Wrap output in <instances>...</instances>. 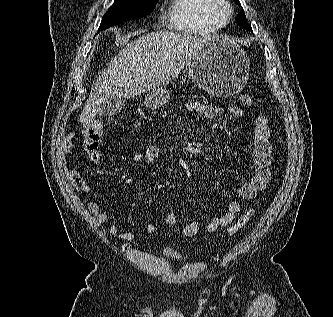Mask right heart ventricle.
Returning <instances> with one entry per match:
<instances>
[{
    "label": "right heart ventricle",
    "instance_id": "e07e8e85",
    "mask_svg": "<svg viewBox=\"0 0 333 317\" xmlns=\"http://www.w3.org/2000/svg\"><path fill=\"white\" fill-rule=\"evenodd\" d=\"M213 0H171L166 11L168 26L191 35H209L226 24L212 10Z\"/></svg>",
    "mask_w": 333,
    "mask_h": 317
}]
</instances>
